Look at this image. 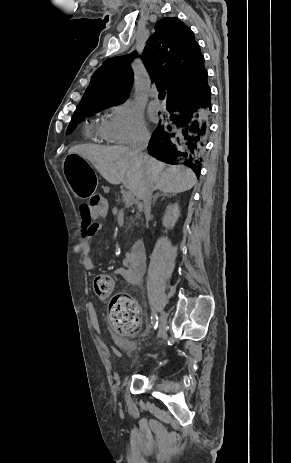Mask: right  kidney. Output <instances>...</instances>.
Here are the masks:
<instances>
[{
    "mask_svg": "<svg viewBox=\"0 0 291 463\" xmlns=\"http://www.w3.org/2000/svg\"><path fill=\"white\" fill-rule=\"evenodd\" d=\"M180 216L178 204H170L166 208L163 216V226L167 229H172Z\"/></svg>",
    "mask_w": 291,
    "mask_h": 463,
    "instance_id": "ca27d5eb",
    "label": "right kidney"
}]
</instances>
